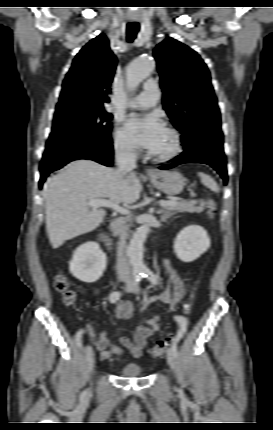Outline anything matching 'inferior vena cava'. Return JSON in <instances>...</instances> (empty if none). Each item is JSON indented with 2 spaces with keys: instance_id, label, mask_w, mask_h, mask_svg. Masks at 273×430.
I'll use <instances>...</instances> for the list:
<instances>
[{
  "instance_id": "inferior-vena-cava-1",
  "label": "inferior vena cava",
  "mask_w": 273,
  "mask_h": 430,
  "mask_svg": "<svg viewBox=\"0 0 273 430\" xmlns=\"http://www.w3.org/2000/svg\"><path fill=\"white\" fill-rule=\"evenodd\" d=\"M115 160L118 166V172L122 176L136 168V155L130 150L116 151ZM120 232L117 255V273L120 278L131 279V272L125 250L128 227L122 226Z\"/></svg>"
}]
</instances>
